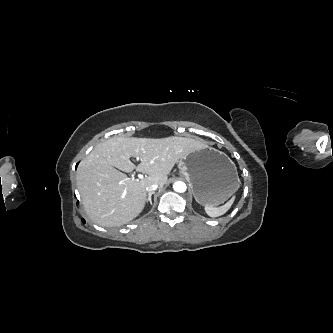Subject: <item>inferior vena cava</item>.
<instances>
[{"label":"inferior vena cava","instance_id":"1","mask_svg":"<svg viewBox=\"0 0 333 333\" xmlns=\"http://www.w3.org/2000/svg\"><path fill=\"white\" fill-rule=\"evenodd\" d=\"M157 188H158V184L153 183L146 187V191L150 193L152 191H155Z\"/></svg>","mask_w":333,"mask_h":333}]
</instances>
